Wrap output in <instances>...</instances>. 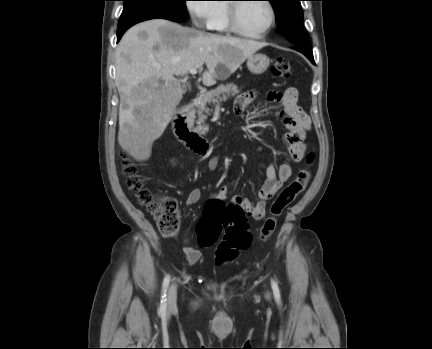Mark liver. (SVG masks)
<instances>
[{
    "instance_id": "1",
    "label": "liver",
    "mask_w": 432,
    "mask_h": 349,
    "mask_svg": "<svg viewBox=\"0 0 432 349\" xmlns=\"http://www.w3.org/2000/svg\"><path fill=\"white\" fill-rule=\"evenodd\" d=\"M267 43L207 33L152 19L131 27L116 48V85L120 95L119 145L136 160H146L182 99L174 75L205 63V86L216 83V67L227 75Z\"/></svg>"
}]
</instances>
